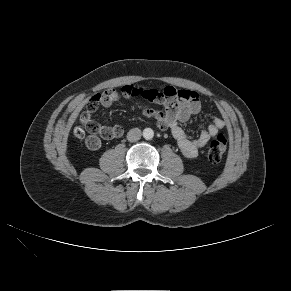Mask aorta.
<instances>
[{
	"label": "aorta",
	"instance_id": "obj_1",
	"mask_svg": "<svg viewBox=\"0 0 291 291\" xmlns=\"http://www.w3.org/2000/svg\"><path fill=\"white\" fill-rule=\"evenodd\" d=\"M154 136V131L151 129V128H145L143 130V137L146 139V140H149V139H152Z\"/></svg>",
	"mask_w": 291,
	"mask_h": 291
}]
</instances>
